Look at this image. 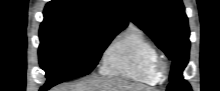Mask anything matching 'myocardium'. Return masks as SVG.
Returning <instances> with one entry per match:
<instances>
[{
	"label": "myocardium",
	"mask_w": 220,
	"mask_h": 91,
	"mask_svg": "<svg viewBox=\"0 0 220 91\" xmlns=\"http://www.w3.org/2000/svg\"><path fill=\"white\" fill-rule=\"evenodd\" d=\"M157 69L160 77H165L168 74L169 66L165 59H160L157 62Z\"/></svg>",
	"instance_id": "obj_1"
}]
</instances>
